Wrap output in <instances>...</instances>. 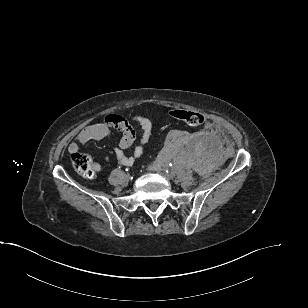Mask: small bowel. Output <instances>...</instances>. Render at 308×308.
Listing matches in <instances>:
<instances>
[{
    "label": "small bowel",
    "mask_w": 308,
    "mask_h": 308,
    "mask_svg": "<svg viewBox=\"0 0 308 308\" xmlns=\"http://www.w3.org/2000/svg\"><path fill=\"white\" fill-rule=\"evenodd\" d=\"M132 120L140 126L142 134L139 144L134 147L130 156L125 154V150L134 144L136 133L131 124L125 118L118 115H107L103 122L83 128L77 136L78 142L87 143L90 141L103 140L110 137L114 131L120 132L121 138L118 146L114 150L115 155L122 165L132 166L134 162L143 155L144 147L148 143L152 133V122L149 118L142 115H134ZM78 149L79 145L76 142H72L69 145V152L71 154L78 151ZM93 168L96 173L101 170L98 163H95Z\"/></svg>",
    "instance_id": "small-bowel-1"
}]
</instances>
